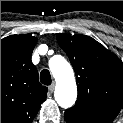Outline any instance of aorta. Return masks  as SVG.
Returning <instances> with one entry per match:
<instances>
[{
	"label": "aorta",
	"instance_id": "aorta-1",
	"mask_svg": "<svg viewBox=\"0 0 123 123\" xmlns=\"http://www.w3.org/2000/svg\"><path fill=\"white\" fill-rule=\"evenodd\" d=\"M50 70L56 80L55 100L62 108H70L77 98V85L71 65L67 60L55 55L49 60Z\"/></svg>",
	"mask_w": 123,
	"mask_h": 123
}]
</instances>
